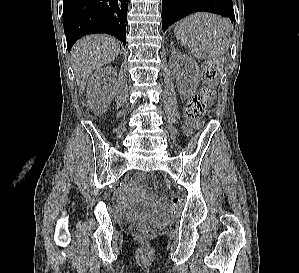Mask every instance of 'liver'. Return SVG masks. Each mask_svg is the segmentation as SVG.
<instances>
[{"label":"liver","instance_id":"liver-1","mask_svg":"<svg viewBox=\"0 0 299 273\" xmlns=\"http://www.w3.org/2000/svg\"><path fill=\"white\" fill-rule=\"evenodd\" d=\"M120 52V43L107 35H89L76 42L70 53L79 91L85 89L90 74L113 61Z\"/></svg>","mask_w":299,"mask_h":273}]
</instances>
